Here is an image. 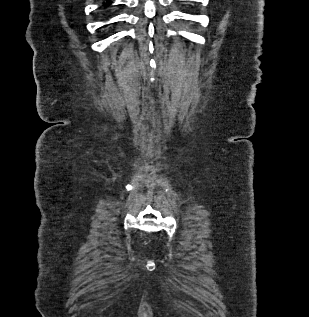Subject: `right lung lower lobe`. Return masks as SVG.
<instances>
[{"label":"right lung lower lobe","mask_w":309,"mask_h":317,"mask_svg":"<svg viewBox=\"0 0 309 317\" xmlns=\"http://www.w3.org/2000/svg\"><path fill=\"white\" fill-rule=\"evenodd\" d=\"M111 4V1H107L106 3L105 2H103V6L106 8L108 5H110Z\"/></svg>","instance_id":"right-lung-lower-lobe-1"}]
</instances>
